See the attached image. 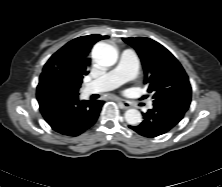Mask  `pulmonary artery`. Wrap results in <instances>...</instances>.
I'll use <instances>...</instances> for the list:
<instances>
[{"mask_svg": "<svg viewBox=\"0 0 222 187\" xmlns=\"http://www.w3.org/2000/svg\"><path fill=\"white\" fill-rule=\"evenodd\" d=\"M138 62L136 54L131 49H124L121 52L117 67L105 76L86 84L82 93L88 96L93 93H100L112 90L124 81L133 79L137 73ZM152 106V101L148 102V107Z\"/></svg>", "mask_w": 222, "mask_h": 187, "instance_id": "obj_1", "label": "pulmonary artery"}]
</instances>
